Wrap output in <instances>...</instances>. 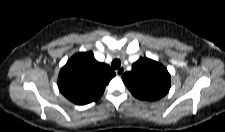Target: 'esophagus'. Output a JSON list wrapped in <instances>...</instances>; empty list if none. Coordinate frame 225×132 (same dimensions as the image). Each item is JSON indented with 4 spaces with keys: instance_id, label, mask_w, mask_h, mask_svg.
<instances>
[{
    "instance_id": "34e87169",
    "label": "esophagus",
    "mask_w": 225,
    "mask_h": 132,
    "mask_svg": "<svg viewBox=\"0 0 225 132\" xmlns=\"http://www.w3.org/2000/svg\"><path fill=\"white\" fill-rule=\"evenodd\" d=\"M115 72H116V74L118 76H121L125 72V68L124 67H120Z\"/></svg>"
}]
</instances>
